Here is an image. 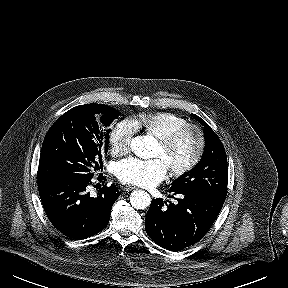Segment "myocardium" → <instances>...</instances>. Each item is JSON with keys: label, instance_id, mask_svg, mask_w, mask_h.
<instances>
[{"label": "myocardium", "instance_id": "obj_1", "mask_svg": "<svg viewBox=\"0 0 288 288\" xmlns=\"http://www.w3.org/2000/svg\"><path fill=\"white\" fill-rule=\"evenodd\" d=\"M189 132L196 135V149L192 157L185 163L176 166H169L170 173L174 177H179L186 174L199 163L205 149V134L200 126L193 123H186L159 138V142L162 144L165 150L168 151L181 136Z\"/></svg>", "mask_w": 288, "mask_h": 288}]
</instances>
